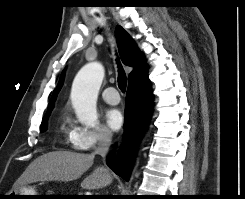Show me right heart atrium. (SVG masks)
<instances>
[{
    "mask_svg": "<svg viewBox=\"0 0 245 199\" xmlns=\"http://www.w3.org/2000/svg\"><path fill=\"white\" fill-rule=\"evenodd\" d=\"M111 140V132L101 124L92 127L75 125L70 137L73 148L83 151L108 145Z\"/></svg>",
    "mask_w": 245,
    "mask_h": 199,
    "instance_id": "d8ad5b80",
    "label": "right heart atrium"
}]
</instances>
